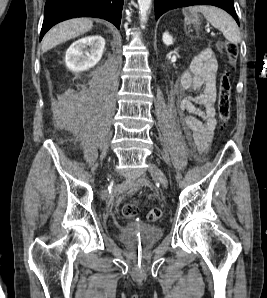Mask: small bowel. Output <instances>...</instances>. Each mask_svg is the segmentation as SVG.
<instances>
[{
  "label": "small bowel",
  "instance_id": "obj_1",
  "mask_svg": "<svg viewBox=\"0 0 267 298\" xmlns=\"http://www.w3.org/2000/svg\"><path fill=\"white\" fill-rule=\"evenodd\" d=\"M217 70V59L210 50L205 49L191 61L181 77V88L196 93L183 97L178 104V111L183 129L192 137L199 154L206 152L217 123ZM142 185L143 181H139L133 189Z\"/></svg>",
  "mask_w": 267,
  "mask_h": 298
}]
</instances>
